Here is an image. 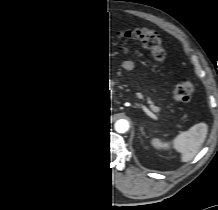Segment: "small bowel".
<instances>
[{"label": "small bowel", "instance_id": "1", "mask_svg": "<svg viewBox=\"0 0 218 210\" xmlns=\"http://www.w3.org/2000/svg\"><path fill=\"white\" fill-rule=\"evenodd\" d=\"M122 67H123V69H125V70H127V71H131V70L134 69L135 64H134V62L131 61V60H126V61H124V62L122 63Z\"/></svg>", "mask_w": 218, "mask_h": 210}]
</instances>
